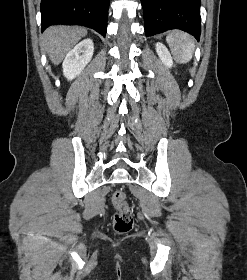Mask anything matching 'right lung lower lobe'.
<instances>
[{
	"label": "right lung lower lobe",
	"instance_id": "98d812e1",
	"mask_svg": "<svg viewBox=\"0 0 247 280\" xmlns=\"http://www.w3.org/2000/svg\"><path fill=\"white\" fill-rule=\"evenodd\" d=\"M110 0H41V30L54 24L88 26L103 37Z\"/></svg>",
	"mask_w": 247,
	"mask_h": 280
}]
</instances>
